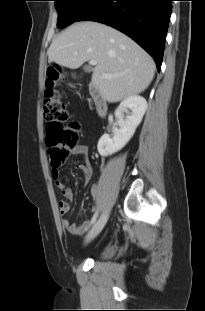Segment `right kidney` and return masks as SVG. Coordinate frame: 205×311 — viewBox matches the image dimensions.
Masks as SVG:
<instances>
[{
    "mask_svg": "<svg viewBox=\"0 0 205 311\" xmlns=\"http://www.w3.org/2000/svg\"><path fill=\"white\" fill-rule=\"evenodd\" d=\"M146 109L147 102L141 96L133 95L124 99L115 111L119 128L112 130L113 137H110L108 134L102 135L97 145L99 154L108 156L122 149L141 123ZM123 112L128 114L125 119H123Z\"/></svg>",
    "mask_w": 205,
    "mask_h": 311,
    "instance_id": "right-kidney-1",
    "label": "right kidney"
}]
</instances>
